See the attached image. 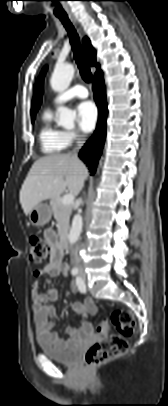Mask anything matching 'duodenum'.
<instances>
[{"mask_svg":"<svg viewBox=\"0 0 168 406\" xmlns=\"http://www.w3.org/2000/svg\"><path fill=\"white\" fill-rule=\"evenodd\" d=\"M69 246L68 234L64 233L60 237V247L62 250L67 249Z\"/></svg>","mask_w":168,"mask_h":406,"instance_id":"410a0bca","label":"duodenum"}]
</instances>
